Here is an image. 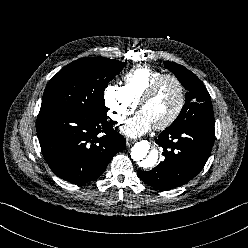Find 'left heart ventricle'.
<instances>
[{"label": "left heart ventricle", "mask_w": 248, "mask_h": 248, "mask_svg": "<svg viewBox=\"0 0 248 248\" xmlns=\"http://www.w3.org/2000/svg\"><path fill=\"white\" fill-rule=\"evenodd\" d=\"M180 100L179 88L175 81L167 79L159 86L154 96L140 109L152 125L159 124L170 117Z\"/></svg>", "instance_id": "1"}]
</instances>
